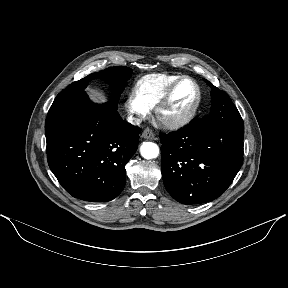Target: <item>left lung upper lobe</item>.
Returning <instances> with one entry per match:
<instances>
[{
	"mask_svg": "<svg viewBox=\"0 0 288 288\" xmlns=\"http://www.w3.org/2000/svg\"><path fill=\"white\" fill-rule=\"evenodd\" d=\"M205 81L212 88V107L210 113L202 118L203 122L214 126L228 128L238 134L244 135L243 120L230 97L209 81Z\"/></svg>",
	"mask_w": 288,
	"mask_h": 288,
	"instance_id": "5c2ea615",
	"label": "left lung upper lobe"
}]
</instances>
